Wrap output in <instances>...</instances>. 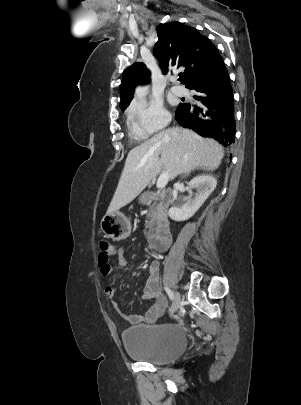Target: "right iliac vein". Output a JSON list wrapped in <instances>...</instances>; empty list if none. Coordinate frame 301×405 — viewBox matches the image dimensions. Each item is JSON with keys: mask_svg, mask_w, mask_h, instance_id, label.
I'll return each mask as SVG.
<instances>
[{"mask_svg": "<svg viewBox=\"0 0 301 405\" xmlns=\"http://www.w3.org/2000/svg\"><path fill=\"white\" fill-rule=\"evenodd\" d=\"M179 305H180V295L178 292H175L173 304L171 307V314L175 313L178 310Z\"/></svg>", "mask_w": 301, "mask_h": 405, "instance_id": "obj_1", "label": "right iliac vein"}]
</instances>
